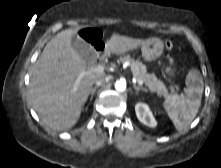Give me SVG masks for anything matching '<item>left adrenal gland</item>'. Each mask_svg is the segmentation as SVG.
<instances>
[{
  "label": "left adrenal gland",
  "mask_w": 221,
  "mask_h": 168,
  "mask_svg": "<svg viewBox=\"0 0 221 168\" xmlns=\"http://www.w3.org/2000/svg\"><path fill=\"white\" fill-rule=\"evenodd\" d=\"M133 88L135 89L136 93H138L140 90L147 92L146 88H143V87H140V86H136L135 84L133 85Z\"/></svg>",
  "instance_id": "obj_1"
}]
</instances>
